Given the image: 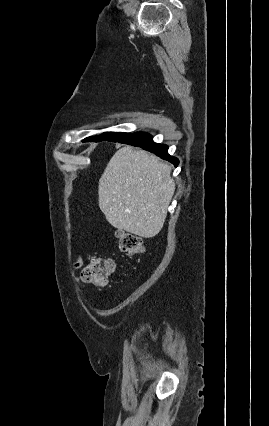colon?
I'll use <instances>...</instances> for the list:
<instances>
[{
    "mask_svg": "<svg viewBox=\"0 0 269 426\" xmlns=\"http://www.w3.org/2000/svg\"><path fill=\"white\" fill-rule=\"evenodd\" d=\"M117 239L120 250L127 256H133L145 251L142 237L127 231H118ZM116 271V266L111 258L96 257L88 261L81 273V279L93 286H104L109 277Z\"/></svg>",
    "mask_w": 269,
    "mask_h": 426,
    "instance_id": "colon-1",
    "label": "colon"
}]
</instances>
